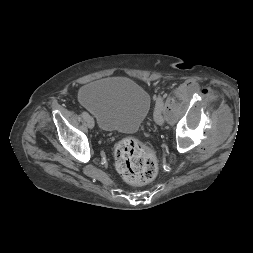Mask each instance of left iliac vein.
I'll list each match as a JSON object with an SVG mask.
<instances>
[{
	"mask_svg": "<svg viewBox=\"0 0 253 253\" xmlns=\"http://www.w3.org/2000/svg\"><path fill=\"white\" fill-rule=\"evenodd\" d=\"M165 111V107L162 105H159L155 111H154V120L155 122L161 126L164 123V118H163V112Z\"/></svg>",
	"mask_w": 253,
	"mask_h": 253,
	"instance_id": "obj_1",
	"label": "left iliac vein"
}]
</instances>
